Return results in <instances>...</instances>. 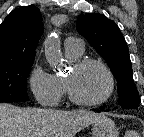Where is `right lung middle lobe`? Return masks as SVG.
Listing matches in <instances>:
<instances>
[{"label":"right lung middle lobe","instance_id":"dd1d6c3e","mask_svg":"<svg viewBox=\"0 0 144 137\" xmlns=\"http://www.w3.org/2000/svg\"><path fill=\"white\" fill-rule=\"evenodd\" d=\"M34 59L0 63V102L27 101V77Z\"/></svg>","mask_w":144,"mask_h":137}]
</instances>
